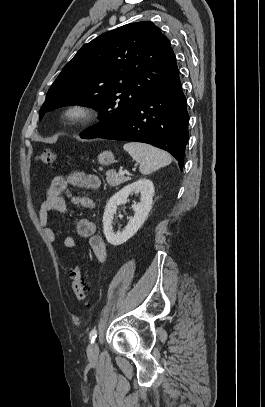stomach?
<instances>
[{
	"instance_id": "stomach-1",
	"label": "stomach",
	"mask_w": 265,
	"mask_h": 407,
	"mask_svg": "<svg viewBox=\"0 0 265 407\" xmlns=\"http://www.w3.org/2000/svg\"><path fill=\"white\" fill-rule=\"evenodd\" d=\"M114 162V155L111 151H104L98 156V163L101 165H110Z\"/></svg>"
}]
</instances>
